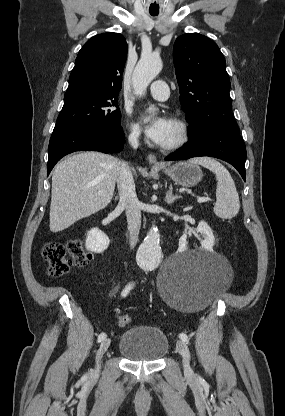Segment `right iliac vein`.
I'll return each mask as SVG.
<instances>
[{
  "instance_id": "right-iliac-vein-1",
  "label": "right iliac vein",
  "mask_w": 285,
  "mask_h": 416,
  "mask_svg": "<svg viewBox=\"0 0 285 416\" xmlns=\"http://www.w3.org/2000/svg\"><path fill=\"white\" fill-rule=\"evenodd\" d=\"M111 340L110 338H105L102 343L100 344L98 351L96 353V366L94 370V374H98L100 371V359L103 356V354L106 352V350L110 347Z\"/></svg>"
}]
</instances>
